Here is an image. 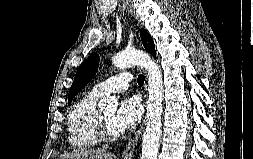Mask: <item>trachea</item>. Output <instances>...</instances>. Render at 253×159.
Instances as JSON below:
<instances>
[{"label":"trachea","mask_w":253,"mask_h":159,"mask_svg":"<svg viewBox=\"0 0 253 159\" xmlns=\"http://www.w3.org/2000/svg\"><path fill=\"white\" fill-rule=\"evenodd\" d=\"M144 81H145V76H144V75H139V76H138V79H137V83H138L140 86H143Z\"/></svg>","instance_id":"obj_1"}]
</instances>
